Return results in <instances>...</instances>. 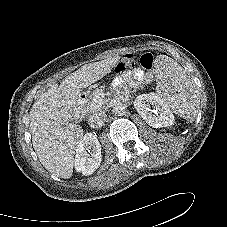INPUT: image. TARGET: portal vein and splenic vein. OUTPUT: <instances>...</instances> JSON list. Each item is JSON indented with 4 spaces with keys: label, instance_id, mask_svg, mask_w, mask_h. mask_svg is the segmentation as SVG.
Returning a JSON list of instances; mask_svg holds the SVG:
<instances>
[{
    "label": "portal vein and splenic vein",
    "instance_id": "1",
    "mask_svg": "<svg viewBox=\"0 0 227 227\" xmlns=\"http://www.w3.org/2000/svg\"><path fill=\"white\" fill-rule=\"evenodd\" d=\"M97 98H98V101H100V102L102 101V98H100V97H97Z\"/></svg>",
    "mask_w": 227,
    "mask_h": 227
}]
</instances>
